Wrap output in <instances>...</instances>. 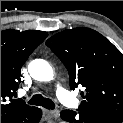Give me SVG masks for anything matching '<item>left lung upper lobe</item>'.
I'll list each match as a JSON object with an SVG mask.
<instances>
[{
	"mask_svg": "<svg viewBox=\"0 0 123 123\" xmlns=\"http://www.w3.org/2000/svg\"><path fill=\"white\" fill-rule=\"evenodd\" d=\"M46 45L68 69L70 87H85L79 110L94 109L123 119V55L89 28L64 30Z\"/></svg>",
	"mask_w": 123,
	"mask_h": 123,
	"instance_id": "5c2ea615",
	"label": "left lung upper lobe"
}]
</instances>
